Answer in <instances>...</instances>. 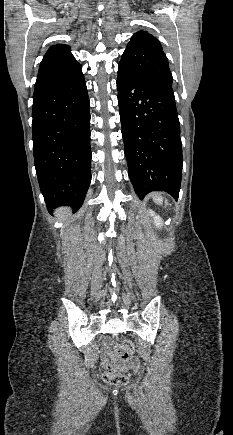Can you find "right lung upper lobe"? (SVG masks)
<instances>
[{
    "label": "right lung upper lobe",
    "mask_w": 233,
    "mask_h": 435,
    "mask_svg": "<svg viewBox=\"0 0 233 435\" xmlns=\"http://www.w3.org/2000/svg\"><path fill=\"white\" fill-rule=\"evenodd\" d=\"M81 72V65L71 54L69 46H51L40 64L33 97L53 89Z\"/></svg>",
    "instance_id": "cb5924a9"
}]
</instances>
